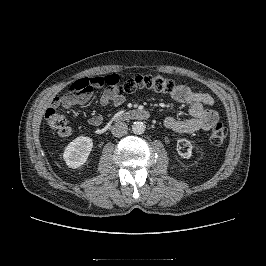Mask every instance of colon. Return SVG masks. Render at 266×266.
<instances>
[{
    "instance_id": "1",
    "label": "colon",
    "mask_w": 266,
    "mask_h": 266,
    "mask_svg": "<svg viewBox=\"0 0 266 266\" xmlns=\"http://www.w3.org/2000/svg\"><path fill=\"white\" fill-rule=\"evenodd\" d=\"M107 85L117 95L129 94L139 90H151L158 93H171L176 88L174 80L162 75H139L122 81L118 74L84 77L75 80L69 91L73 94H86L98 86ZM45 124L48 130L66 134L68 132L65 117L55 108H49L45 114ZM227 137V128L222 123L216 124L210 133V142L214 146L223 144Z\"/></svg>"
}]
</instances>
